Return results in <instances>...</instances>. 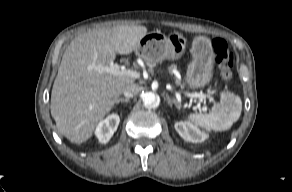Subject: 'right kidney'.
<instances>
[{"instance_id": "right-kidney-1", "label": "right kidney", "mask_w": 292, "mask_h": 192, "mask_svg": "<svg viewBox=\"0 0 292 192\" xmlns=\"http://www.w3.org/2000/svg\"><path fill=\"white\" fill-rule=\"evenodd\" d=\"M120 118L117 114H111L102 120L95 131V134L101 143H107L117 130Z\"/></svg>"}]
</instances>
